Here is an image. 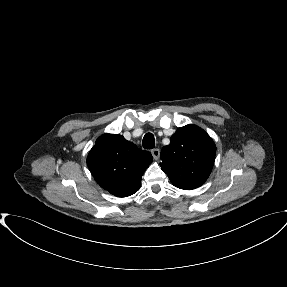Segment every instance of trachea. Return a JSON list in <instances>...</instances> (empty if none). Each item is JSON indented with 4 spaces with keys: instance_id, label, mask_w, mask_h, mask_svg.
I'll list each match as a JSON object with an SVG mask.
<instances>
[{
    "instance_id": "trachea-1",
    "label": "trachea",
    "mask_w": 287,
    "mask_h": 287,
    "mask_svg": "<svg viewBox=\"0 0 287 287\" xmlns=\"http://www.w3.org/2000/svg\"><path fill=\"white\" fill-rule=\"evenodd\" d=\"M143 147L145 149H153L155 147V138L152 133L145 134L143 138Z\"/></svg>"
}]
</instances>
